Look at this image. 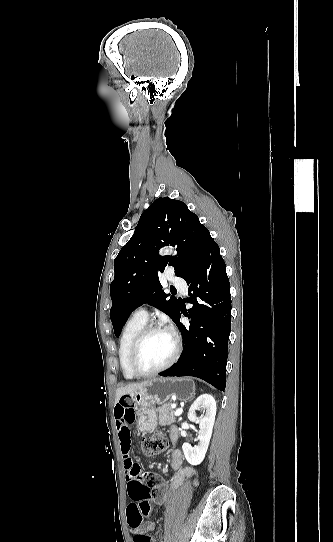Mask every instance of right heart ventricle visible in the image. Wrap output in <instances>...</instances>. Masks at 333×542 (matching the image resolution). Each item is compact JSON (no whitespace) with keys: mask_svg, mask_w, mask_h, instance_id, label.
<instances>
[{"mask_svg":"<svg viewBox=\"0 0 333 542\" xmlns=\"http://www.w3.org/2000/svg\"><path fill=\"white\" fill-rule=\"evenodd\" d=\"M146 323L147 322L131 318L122 331L119 346V364L121 372L126 379L135 378L130 371L128 364L129 350L133 341L139 332L145 327Z\"/></svg>","mask_w":333,"mask_h":542,"instance_id":"e07e8e85","label":"right heart ventricle"}]
</instances>
